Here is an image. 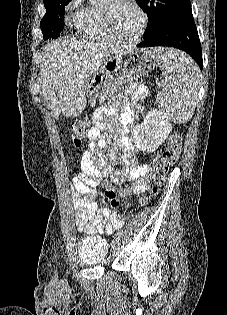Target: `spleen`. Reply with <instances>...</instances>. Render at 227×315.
Wrapping results in <instances>:
<instances>
[{"mask_svg":"<svg viewBox=\"0 0 227 315\" xmlns=\"http://www.w3.org/2000/svg\"><path fill=\"white\" fill-rule=\"evenodd\" d=\"M161 68L165 80L157 96L160 112L175 123L188 122L198 98V69L194 62L174 49L156 48L149 52Z\"/></svg>","mask_w":227,"mask_h":315,"instance_id":"1","label":"spleen"}]
</instances>
